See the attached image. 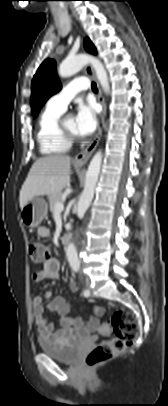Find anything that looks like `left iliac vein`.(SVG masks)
Masks as SVG:
<instances>
[{
  "label": "left iliac vein",
  "instance_id": "4c4485c4",
  "mask_svg": "<svg viewBox=\"0 0 168 406\" xmlns=\"http://www.w3.org/2000/svg\"><path fill=\"white\" fill-rule=\"evenodd\" d=\"M88 289L91 291L90 287H88ZM91 295H92V292H91Z\"/></svg>",
  "mask_w": 168,
  "mask_h": 406
}]
</instances>
